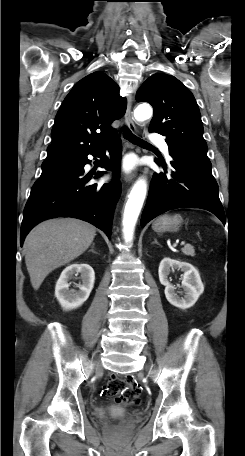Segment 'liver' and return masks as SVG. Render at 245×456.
Masks as SVG:
<instances>
[{"mask_svg": "<svg viewBox=\"0 0 245 456\" xmlns=\"http://www.w3.org/2000/svg\"><path fill=\"white\" fill-rule=\"evenodd\" d=\"M95 235V227L73 218L51 219L37 225L24 242L25 263L34 290L54 269L84 253Z\"/></svg>", "mask_w": 245, "mask_h": 456, "instance_id": "obj_1", "label": "liver"}]
</instances>
